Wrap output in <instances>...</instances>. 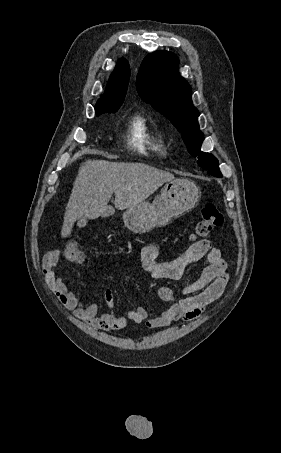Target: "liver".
Instances as JSON below:
<instances>
[{
  "mask_svg": "<svg viewBox=\"0 0 281 453\" xmlns=\"http://www.w3.org/2000/svg\"><path fill=\"white\" fill-rule=\"evenodd\" d=\"M174 174L144 162H110L85 160L79 166L72 192L64 212L61 237H69L73 224L85 218L110 216L115 208H132L144 202L164 182L173 180ZM115 192V208L108 204Z\"/></svg>",
  "mask_w": 281,
  "mask_h": 453,
  "instance_id": "6515ba94",
  "label": "liver"
}]
</instances>
